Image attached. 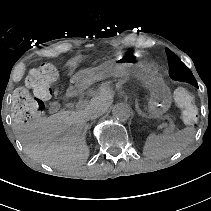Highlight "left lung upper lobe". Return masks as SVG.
I'll return each mask as SVG.
<instances>
[{"label":"left lung upper lobe","instance_id":"obj_1","mask_svg":"<svg viewBox=\"0 0 211 211\" xmlns=\"http://www.w3.org/2000/svg\"><path fill=\"white\" fill-rule=\"evenodd\" d=\"M169 76L178 81L187 82L195 87H198L197 81L191 70L168 48H166Z\"/></svg>","mask_w":211,"mask_h":211}]
</instances>
